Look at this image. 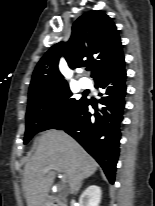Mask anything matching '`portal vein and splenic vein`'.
Returning <instances> with one entry per match:
<instances>
[{
  "label": "portal vein and splenic vein",
  "mask_w": 155,
  "mask_h": 206,
  "mask_svg": "<svg viewBox=\"0 0 155 206\" xmlns=\"http://www.w3.org/2000/svg\"><path fill=\"white\" fill-rule=\"evenodd\" d=\"M50 169H46V171H49ZM60 178H62V182L65 183L66 182V177L64 175H60Z\"/></svg>",
  "instance_id": "obj_1"
}]
</instances>
